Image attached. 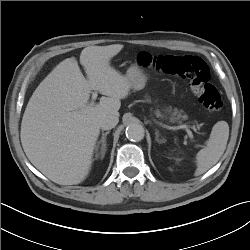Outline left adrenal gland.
Segmentation results:
<instances>
[{
  "label": "left adrenal gland",
  "mask_w": 250,
  "mask_h": 250,
  "mask_svg": "<svg viewBox=\"0 0 250 250\" xmlns=\"http://www.w3.org/2000/svg\"><path fill=\"white\" fill-rule=\"evenodd\" d=\"M156 141L158 142V143H165L166 142V140L164 139V138H162V139H159V132L158 131H156Z\"/></svg>",
  "instance_id": "a2214340"
}]
</instances>
